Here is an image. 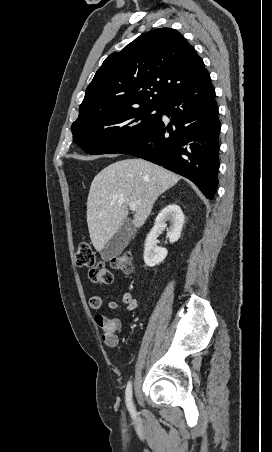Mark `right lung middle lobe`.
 Returning a JSON list of instances; mask_svg holds the SVG:
<instances>
[{
  "instance_id": "obj_1",
  "label": "right lung middle lobe",
  "mask_w": 272,
  "mask_h": 452,
  "mask_svg": "<svg viewBox=\"0 0 272 452\" xmlns=\"http://www.w3.org/2000/svg\"><path fill=\"white\" fill-rule=\"evenodd\" d=\"M161 107L141 105L108 111L75 121L73 141L89 154H112L125 149L158 120Z\"/></svg>"
}]
</instances>
